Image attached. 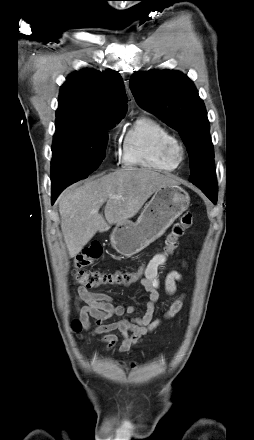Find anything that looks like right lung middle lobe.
<instances>
[{"label":"right lung middle lobe","instance_id":"1","mask_svg":"<svg viewBox=\"0 0 254 440\" xmlns=\"http://www.w3.org/2000/svg\"><path fill=\"white\" fill-rule=\"evenodd\" d=\"M117 122L56 119L51 162L52 186L71 184L96 170L105 158L107 130Z\"/></svg>","mask_w":254,"mask_h":440}]
</instances>
